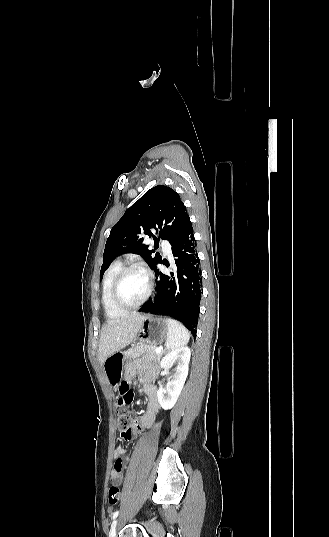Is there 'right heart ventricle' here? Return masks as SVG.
<instances>
[{
	"label": "right heart ventricle",
	"instance_id": "obj_1",
	"mask_svg": "<svg viewBox=\"0 0 329 537\" xmlns=\"http://www.w3.org/2000/svg\"><path fill=\"white\" fill-rule=\"evenodd\" d=\"M122 267V262L115 260L107 269L102 281L101 301L106 315L110 318L119 317L125 313V310L118 308L112 299L113 283Z\"/></svg>",
	"mask_w": 329,
	"mask_h": 537
}]
</instances>
